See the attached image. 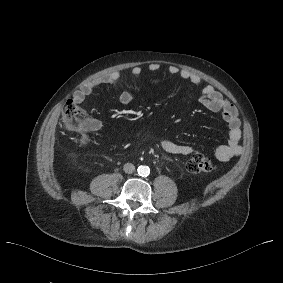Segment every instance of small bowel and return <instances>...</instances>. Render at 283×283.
I'll use <instances>...</instances> for the list:
<instances>
[{
    "instance_id": "c3829d8e",
    "label": "small bowel",
    "mask_w": 283,
    "mask_h": 283,
    "mask_svg": "<svg viewBox=\"0 0 283 283\" xmlns=\"http://www.w3.org/2000/svg\"><path fill=\"white\" fill-rule=\"evenodd\" d=\"M158 69L159 65L156 63H151L147 68L150 72L157 71ZM143 72L144 71L141 67H134L130 71L131 75L136 77L142 75ZM168 73L170 75L179 76L181 79L189 81L196 86H200L202 84V79L199 75L176 66H170ZM121 78L122 74L119 71L97 77L84 84L80 90L75 92L72 97V101L75 104L82 103L89 95L92 94L96 87L103 84H108L118 88ZM134 99V93L129 89H124L119 94V102L122 105H129L134 101ZM199 102L208 110L219 112L229 129L228 142L215 149V157L220 161H228L240 155L243 148L240 144L241 123L237 107L212 85L202 86ZM99 127L100 125L97 120H93L90 124L91 130H98ZM137 136H140V133L137 134ZM160 146L165 152L170 154L190 155L195 153L194 147L178 144L166 138L160 139Z\"/></svg>"
}]
</instances>
